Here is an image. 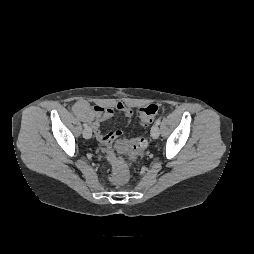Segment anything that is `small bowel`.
<instances>
[{
  "label": "small bowel",
  "mask_w": 254,
  "mask_h": 254,
  "mask_svg": "<svg viewBox=\"0 0 254 254\" xmlns=\"http://www.w3.org/2000/svg\"><path fill=\"white\" fill-rule=\"evenodd\" d=\"M115 109L124 114L126 124L132 121L133 111L123 103H117ZM74 112L83 120L91 124L96 138L104 145H111L115 140L121 137L122 131L115 130L109 133H103L101 125L104 121L110 119L114 114V109L98 105L91 106L85 100H78L73 106ZM110 160H114L113 154L108 153Z\"/></svg>",
  "instance_id": "obj_1"
}]
</instances>
